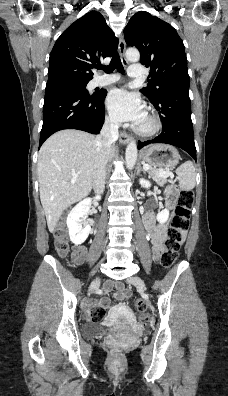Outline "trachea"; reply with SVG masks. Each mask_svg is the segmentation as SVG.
<instances>
[{
	"instance_id": "obj_1",
	"label": "trachea",
	"mask_w": 228,
	"mask_h": 396,
	"mask_svg": "<svg viewBox=\"0 0 228 396\" xmlns=\"http://www.w3.org/2000/svg\"><path fill=\"white\" fill-rule=\"evenodd\" d=\"M97 68L104 70L105 73H112L114 71V69H117V71H119L120 73L124 72V68H123V65L121 63V60H120V57H119L118 53H115V55L111 59V62H110V64L108 66L100 65Z\"/></svg>"
}]
</instances>
